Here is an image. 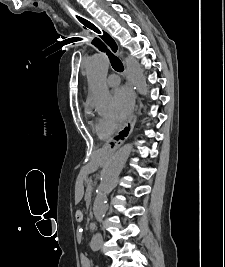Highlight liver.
<instances>
[{
    "mask_svg": "<svg viewBox=\"0 0 225 267\" xmlns=\"http://www.w3.org/2000/svg\"><path fill=\"white\" fill-rule=\"evenodd\" d=\"M103 162V158L101 156V151H96L91 156L90 163L85 167V172H93L95 171ZM83 196V188L78 185L76 188V202L78 203Z\"/></svg>",
    "mask_w": 225,
    "mask_h": 267,
    "instance_id": "6515ba94",
    "label": "liver"
}]
</instances>
